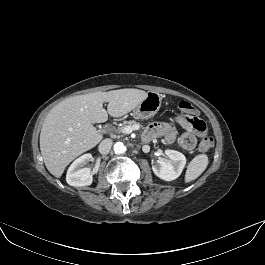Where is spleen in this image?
I'll use <instances>...</instances> for the list:
<instances>
[{"label": "spleen", "instance_id": "obj_1", "mask_svg": "<svg viewBox=\"0 0 265 265\" xmlns=\"http://www.w3.org/2000/svg\"><path fill=\"white\" fill-rule=\"evenodd\" d=\"M208 157L206 154H200L195 156L189 163L186 174L185 182L189 183L198 178L208 166Z\"/></svg>", "mask_w": 265, "mask_h": 265}]
</instances>
